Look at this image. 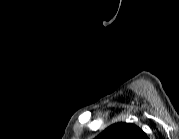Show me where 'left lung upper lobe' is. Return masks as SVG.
<instances>
[{
	"label": "left lung upper lobe",
	"mask_w": 179,
	"mask_h": 139,
	"mask_svg": "<svg viewBox=\"0 0 179 139\" xmlns=\"http://www.w3.org/2000/svg\"><path fill=\"white\" fill-rule=\"evenodd\" d=\"M104 139H145V133L131 123H116L100 134Z\"/></svg>",
	"instance_id": "5c2ea615"
}]
</instances>
